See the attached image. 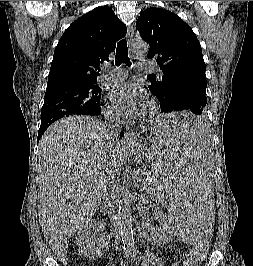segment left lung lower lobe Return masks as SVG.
<instances>
[{
	"label": "left lung lower lobe",
	"instance_id": "0a47b994",
	"mask_svg": "<svg viewBox=\"0 0 253 266\" xmlns=\"http://www.w3.org/2000/svg\"><path fill=\"white\" fill-rule=\"evenodd\" d=\"M207 103L206 90L192 83H184L171 92L170 99L165 105H161V112L189 111L196 117H191L189 123H185L177 132H196L204 127L203 118Z\"/></svg>",
	"mask_w": 253,
	"mask_h": 266
}]
</instances>
